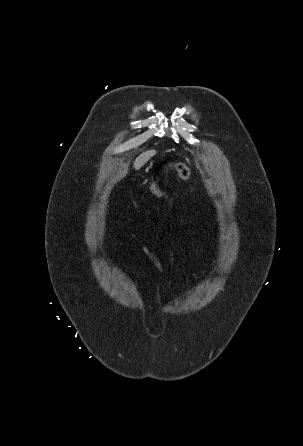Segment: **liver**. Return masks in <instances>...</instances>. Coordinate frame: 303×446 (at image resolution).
Here are the masks:
<instances>
[{
  "label": "liver",
  "mask_w": 303,
  "mask_h": 446,
  "mask_svg": "<svg viewBox=\"0 0 303 446\" xmlns=\"http://www.w3.org/2000/svg\"><path fill=\"white\" fill-rule=\"evenodd\" d=\"M156 152L155 151H146L142 154H140L134 161L133 167L136 170H139L143 165H145L148 160L155 155Z\"/></svg>",
  "instance_id": "1"
}]
</instances>
